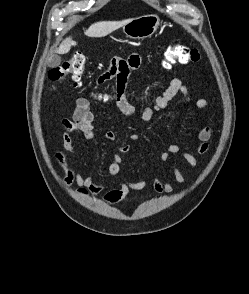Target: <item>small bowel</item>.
Returning <instances> with one entry per match:
<instances>
[{"instance_id":"obj_1","label":"small bowel","mask_w":249,"mask_h":294,"mask_svg":"<svg viewBox=\"0 0 249 294\" xmlns=\"http://www.w3.org/2000/svg\"><path fill=\"white\" fill-rule=\"evenodd\" d=\"M127 61L128 69L125 73L115 75H108L103 73L98 77L96 84L102 85L113 77H116V91H115V104L120 112L126 116H131L135 113L133 105L126 97V89L129 81L130 72L137 70L142 75L145 71L140 67V60L138 55H132ZM182 94L183 98L177 104L171 106L170 101ZM195 103L198 110H205L209 107L208 101L205 99L195 100L194 94L183 84L177 74L173 76L168 87L162 95L158 96L153 105L144 108L140 112V119L144 122L150 121L157 112L171 111L183 108L191 103ZM77 109L74 113L73 119L65 120L64 132L61 136L62 149L56 152L55 157L58 163L64 168L66 176L64 184L69 186L75 184L77 186V194L80 196H93L101 192L105 183L90 175L77 173L69 164V156L76 154V148L72 138V133L79 132L85 141L92 140L95 137L94 114L91 111V102L88 97L80 96L76 99ZM106 138L110 141L116 139L114 131H107ZM130 139L135 140L138 135L131 134ZM198 144L196 151L202 156H207L209 153L208 142L212 138V129L210 127L201 128L196 135ZM130 151L129 145H117L114 147V152L111 155V162L107 168L109 176L114 177L119 175L121 171L122 157L120 152L126 153ZM162 162H171V178L162 180L158 176H146L139 180H133L128 176H122L120 179V188L107 192L104 195V202L112 204L121 199V197L129 191H141L152 185L156 195L170 194L174 191V183L183 185L186 178L182 171L176 164V159H182L190 167L195 168L198 164L196 157L188 152H183L179 145L169 144L166 149L160 153L159 156Z\"/></svg>"}]
</instances>
